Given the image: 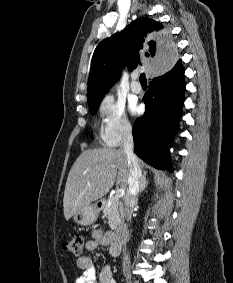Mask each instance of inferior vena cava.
Masks as SVG:
<instances>
[{"instance_id":"obj_1","label":"inferior vena cava","mask_w":233,"mask_h":283,"mask_svg":"<svg viewBox=\"0 0 233 283\" xmlns=\"http://www.w3.org/2000/svg\"><path fill=\"white\" fill-rule=\"evenodd\" d=\"M120 150L124 152L127 158L129 168L128 188L124 203V216L127 222H131L133 207L136 203V196L143 179L142 171L138 164V160L133 152V135L131 127H127L124 131ZM130 266V255L128 252L124 253L123 268L127 270Z\"/></svg>"}]
</instances>
